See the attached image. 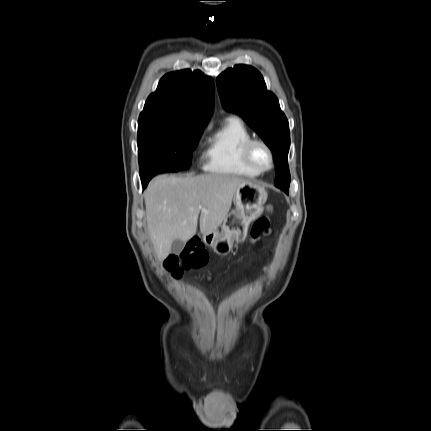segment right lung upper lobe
Listing matches in <instances>:
<instances>
[{
  "mask_svg": "<svg viewBox=\"0 0 431 431\" xmlns=\"http://www.w3.org/2000/svg\"><path fill=\"white\" fill-rule=\"evenodd\" d=\"M214 82L200 71L189 69L166 74L145 104L139 120H165L206 125L214 102Z\"/></svg>",
  "mask_w": 431,
  "mask_h": 431,
  "instance_id": "obj_1",
  "label": "right lung upper lobe"
}]
</instances>
